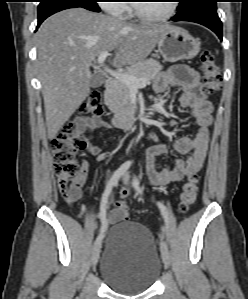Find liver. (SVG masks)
Returning a JSON list of instances; mask_svg holds the SVG:
<instances>
[{"label":"liver","instance_id":"1","mask_svg":"<svg viewBox=\"0 0 248 299\" xmlns=\"http://www.w3.org/2000/svg\"><path fill=\"white\" fill-rule=\"evenodd\" d=\"M167 25H132L121 19L71 8L46 19L36 34L48 138L52 140L90 92V66L103 51H115L112 65L144 60Z\"/></svg>","mask_w":248,"mask_h":299}]
</instances>
